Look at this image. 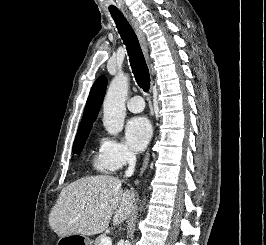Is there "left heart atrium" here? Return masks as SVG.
I'll return each instance as SVG.
<instances>
[{
    "label": "left heart atrium",
    "mask_w": 266,
    "mask_h": 245,
    "mask_svg": "<svg viewBox=\"0 0 266 245\" xmlns=\"http://www.w3.org/2000/svg\"><path fill=\"white\" fill-rule=\"evenodd\" d=\"M151 137V126L144 117H135L125 126V139L134 151H141Z\"/></svg>",
    "instance_id": "left-heart-atrium-1"
}]
</instances>
